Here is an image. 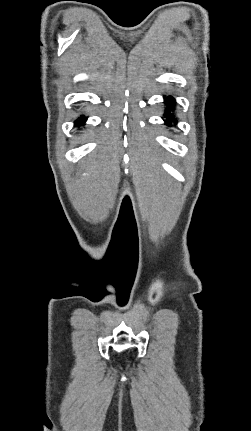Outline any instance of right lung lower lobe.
Here are the masks:
<instances>
[{"instance_id": "1", "label": "right lung lower lobe", "mask_w": 251, "mask_h": 431, "mask_svg": "<svg viewBox=\"0 0 251 431\" xmlns=\"http://www.w3.org/2000/svg\"><path fill=\"white\" fill-rule=\"evenodd\" d=\"M86 119L87 118L84 116L79 117V119L75 121L76 126L79 127V126L83 125L85 123Z\"/></svg>"}]
</instances>
